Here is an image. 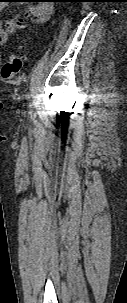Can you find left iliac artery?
I'll return each instance as SVG.
<instances>
[{
  "label": "left iliac artery",
  "mask_w": 127,
  "mask_h": 303,
  "mask_svg": "<svg viewBox=\"0 0 127 303\" xmlns=\"http://www.w3.org/2000/svg\"><path fill=\"white\" fill-rule=\"evenodd\" d=\"M29 114H30V116H31V118H32V117H33V115H32V111H30V112H29Z\"/></svg>",
  "instance_id": "obj_1"
}]
</instances>
